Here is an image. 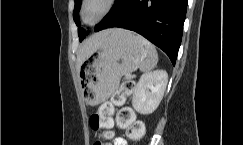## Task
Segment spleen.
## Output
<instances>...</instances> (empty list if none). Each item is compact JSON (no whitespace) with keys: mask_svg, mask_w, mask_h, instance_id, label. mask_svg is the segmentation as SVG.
<instances>
[{"mask_svg":"<svg viewBox=\"0 0 243 145\" xmlns=\"http://www.w3.org/2000/svg\"><path fill=\"white\" fill-rule=\"evenodd\" d=\"M148 48V56L145 61L142 62L140 65V71L142 72H149L154 69L158 63V54L154 46H152L146 40L143 41Z\"/></svg>","mask_w":243,"mask_h":145,"instance_id":"1","label":"spleen"}]
</instances>
